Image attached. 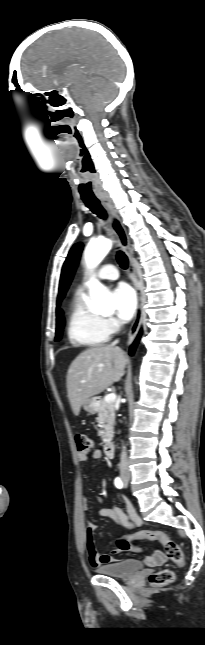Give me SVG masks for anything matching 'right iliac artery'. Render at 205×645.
Segmentation results:
<instances>
[{
    "label": "right iliac artery",
    "mask_w": 205,
    "mask_h": 645,
    "mask_svg": "<svg viewBox=\"0 0 205 645\" xmlns=\"http://www.w3.org/2000/svg\"><path fill=\"white\" fill-rule=\"evenodd\" d=\"M114 484H115V486H116L117 488H119V489H121V488L123 487V482H122V480H121L119 477H117V478L115 479Z\"/></svg>",
    "instance_id": "right-iliac-artery-1"
}]
</instances>
